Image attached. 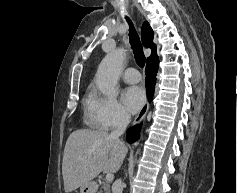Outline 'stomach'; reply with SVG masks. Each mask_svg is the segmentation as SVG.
I'll list each match as a JSON object with an SVG mask.
<instances>
[{
    "instance_id": "1",
    "label": "stomach",
    "mask_w": 237,
    "mask_h": 193,
    "mask_svg": "<svg viewBox=\"0 0 237 193\" xmlns=\"http://www.w3.org/2000/svg\"><path fill=\"white\" fill-rule=\"evenodd\" d=\"M97 186L94 182H89L80 187V193H96Z\"/></svg>"
}]
</instances>
